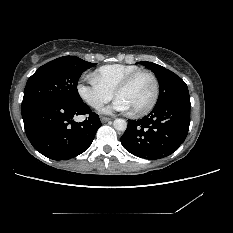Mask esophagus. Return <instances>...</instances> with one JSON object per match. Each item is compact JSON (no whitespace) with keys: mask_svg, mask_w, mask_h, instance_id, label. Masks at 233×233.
Instances as JSON below:
<instances>
[{"mask_svg":"<svg viewBox=\"0 0 233 233\" xmlns=\"http://www.w3.org/2000/svg\"><path fill=\"white\" fill-rule=\"evenodd\" d=\"M108 121H111V119L108 118V117H101V122H102V123H106V122H108Z\"/></svg>","mask_w":233,"mask_h":233,"instance_id":"esophagus-1","label":"esophagus"}]
</instances>
